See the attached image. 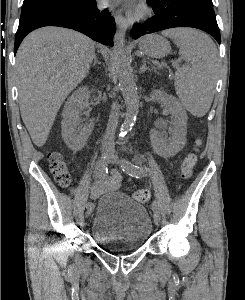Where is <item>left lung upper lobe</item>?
I'll use <instances>...</instances> for the list:
<instances>
[{"label": "left lung upper lobe", "mask_w": 245, "mask_h": 300, "mask_svg": "<svg viewBox=\"0 0 245 300\" xmlns=\"http://www.w3.org/2000/svg\"><path fill=\"white\" fill-rule=\"evenodd\" d=\"M195 1L204 3V4L209 5V6H213L212 0H195Z\"/></svg>", "instance_id": "1"}]
</instances>
